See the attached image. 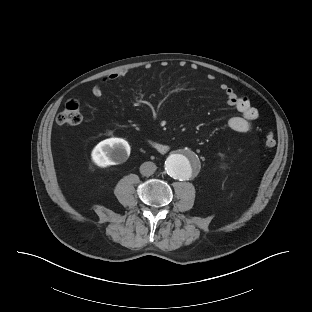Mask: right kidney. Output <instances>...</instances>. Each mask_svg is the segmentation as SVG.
<instances>
[{
    "instance_id": "obj_1",
    "label": "right kidney",
    "mask_w": 312,
    "mask_h": 312,
    "mask_svg": "<svg viewBox=\"0 0 312 312\" xmlns=\"http://www.w3.org/2000/svg\"><path fill=\"white\" fill-rule=\"evenodd\" d=\"M130 155V145L122 138H109L98 143L92 150L91 157L99 167L125 162Z\"/></svg>"
}]
</instances>
